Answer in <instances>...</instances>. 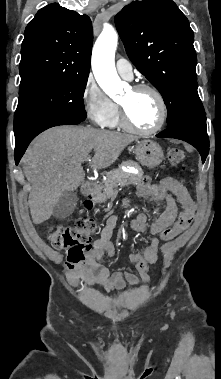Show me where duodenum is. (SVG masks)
Returning <instances> with one entry per match:
<instances>
[{
	"label": "duodenum",
	"instance_id": "obj_1",
	"mask_svg": "<svg viewBox=\"0 0 221 379\" xmlns=\"http://www.w3.org/2000/svg\"><path fill=\"white\" fill-rule=\"evenodd\" d=\"M84 193L87 200L96 202V182L93 180H88L84 185Z\"/></svg>",
	"mask_w": 221,
	"mask_h": 379
}]
</instances>
